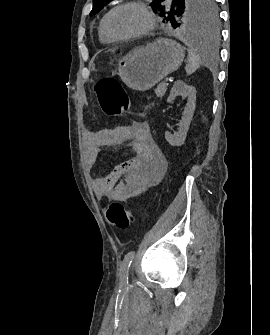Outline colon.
<instances>
[{"instance_id":"1","label":"colon","mask_w":270,"mask_h":335,"mask_svg":"<svg viewBox=\"0 0 270 335\" xmlns=\"http://www.w3.org/2000/svg\"><path fill=\"white\" fill-rule=\"evenodd\" d=\"M93 91L99 99L101 110L107 115H120L131 106L121 84L112 78L97 83ZM138 215L128 210L123 203L113 201L106 207V220L116 229L125 230L135 223Z\"/></svg>"}]
</instances>
